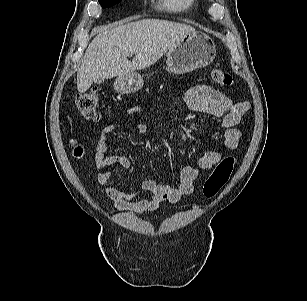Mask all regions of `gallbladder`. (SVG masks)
<instances>
[{"label": "gallbladder", "mask_w": 307, "mask_h": 301, "mask_svg": "<svg viewBox=\"0 0 307 301\" xmlns=\"http://www.w3.org/2000/svg\"><path fill=\"white\" fill-rule=\"evenodd\" d=\"M103 81H104L103 79L98 78L97 80H95V83H96V84H101Z\"/></svg>", "instance_id": "1"}]
</instances>
